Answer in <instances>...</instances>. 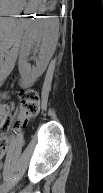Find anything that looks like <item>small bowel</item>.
Returning <instances> with one entry per match:
<instances>
[{
	"mask_svg": "<svg viewBox=\"0 0 103 193\" xmlns=\"http://www.w3.org/2000/svg\"><path fill=\"white\" fill-rule=\"evenodd\" d=\"M10 108H11V109L14 108L13 103H11ZM4 174L8 175V172H7V168H6V167L4 168ZM6 175H5V176H6Z\"/></svg>",
	"mask_w": 103,
	"mask_h": 193,
	"instance_id": "small-bowel-1",
	"label": "small bowel"
}]
</instances>
